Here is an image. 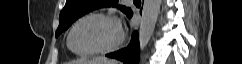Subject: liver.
<instances>
[{"mask_svg": "<svg viewBox=\"0 0 242 64\" xmlns=\"http://www.w3.org/2000/svg\"><path fill=\"white\" fill-rule=\"evenodd\" d=\"M86 62H89V63H102V64H118L116 61L108 60L105 57H97V58H94L93 60L86 61Z\"/></svg>", "mask_w": 242, "mask_h": 64, "instance_id": "liver-1", "label": "liver"}]
</instances>
